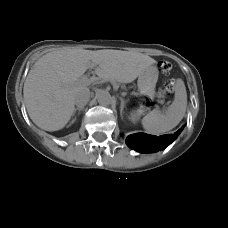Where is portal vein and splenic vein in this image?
Masks as SVG:
<instances>
[{"mask_svg": "<svg viewBox=\"0 0 228 228\" xmlns=\"http://www.w3.org/2000/svg\"><path fill=\"white\" fill-rule=\"evenodd\" d=\"M95 80V78H88V77H82L80 80H78V83H85V84H88V83H91Z\"/></svg>", "mask_w": 228, "mask_h": 228, "instance_id": "1", "label": "portal vein and splenic vein"}]
</instances>
